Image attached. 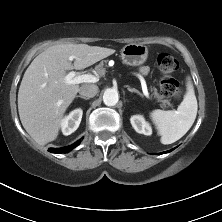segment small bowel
I'll list each match as a JSON object with an SVG mask.
<instances>
[{
    "label": "small bowel",
    "mask_w": 222,
    "mask_h": 222,
    "mask_svg": "<svg viewBox=\"0 0 222 222\" xmlns=\"http://www.w3.org/2000/svg\"><path fill=\"white\" fill-rule=\"evenodd\" d=\"M149 72V68L147 66H143L140 68V73L142 75H146Z\"/></svg>",
    "instance_id": "obj_1"
}]
</instances>
